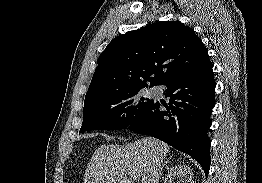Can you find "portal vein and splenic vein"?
I'll return each instance as SVG.
<instances>
[{
  "label": "portal vein and splenic vein",
  "instance_id": "portal-vein-and-splenic-vein-1",
  "mask_svg": "<svg viewBox=\"0 0 262 183\" xmlns=\"http://www.w3.org/2000/svg\"><path fill=\"white\" fill-rule=\"evenodd\" d=\"M129 177L135 181L140 180V177L137 174L129 173Z\"/></svg>",
  "mask_w": 262,
  "mask_h": 183
}]
</instances>
